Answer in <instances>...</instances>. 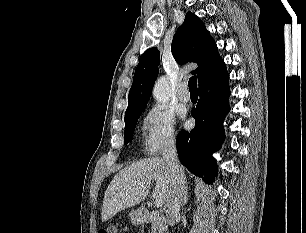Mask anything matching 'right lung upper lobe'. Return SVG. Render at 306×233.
<instances>
[{"label":"right lung upper lobe","instance_id":"obj_1","mask_svg":"<svg viewBox=\"0 0 306 233\" xmlns=\"http://www.w3.org/2000/svg\"><path fill=\"white\" fill-rule=\"evenodd\" d=\"M171 51L178 64L188 61L198 64L192 73L197 74L199 83L225 66L215 41L202 21L192 12L186 14L183 24L175 33ZM159 64L160 53L157 48H150L143 53L135 70L125 117L146 107Z\"/></svg>","mask_w":306,"mask_h":233}]
</instances>
